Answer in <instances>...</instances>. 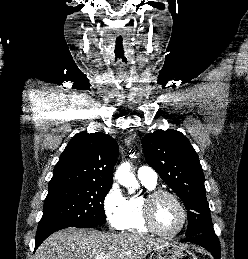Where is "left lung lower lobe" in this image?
I'll return each instance as SVG.
<instances>
[{"label":"left lung lower lobe","instance_id":"obj_1","mask_svg":"<svg viewBox=\"0 0 248 259\" xmlns=\"http://www.w3.org/2000/svg\"><path fill=\"white\" fill-rule=\"evenodd\" d=\"M189 241L191 243L200 245L207 249L215 259H220V243L215 233H203L200 235L192 236L181 242Z\"/></svg>","mask_w":248,"mask_h":259}]
</instances>
